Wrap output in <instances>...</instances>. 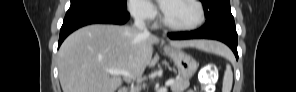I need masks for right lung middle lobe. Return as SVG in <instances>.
<instances>
[{
    "label": "right lung middle lobe",
    "instance_id": "1",
    "mask_svg": "<svg viewBox=\"0 0 296 92\" xmlns=\"http://www.w3.org/2000/svg\"><path fill=\"white\" fill-rule=\"evenodd\" d=\"M78 2H97L119 10L127 8L126 0H71V4Z\"/></svg>",
    "mask_w": 296,
    "mask_h": 92
}]
</instances>
